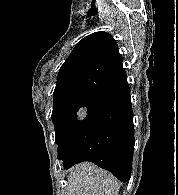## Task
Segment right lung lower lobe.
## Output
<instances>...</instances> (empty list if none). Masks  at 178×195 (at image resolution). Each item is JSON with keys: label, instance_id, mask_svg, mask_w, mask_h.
<instances>
[{"label": "right lung lower lobe", "instance_id": "98d812e1", "mask_svg": "<svg viewBox=\"0 0 178 195\" xmlns=\"http://www.w3.org/2000/svg\"><path fill=\"white\" fill-rule=\"evenodd\" d=\"M134 125L127 80L99 93L83 119L58 146L66 169L90 161L120 181L131 177Z\"/></svg>", "mask_w": 178, "mask_h": 195}]
</instances>
